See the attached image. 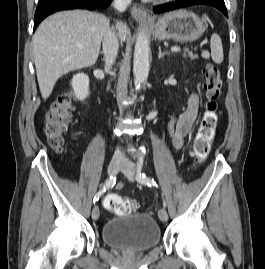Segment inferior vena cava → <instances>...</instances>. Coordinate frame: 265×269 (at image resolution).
Here are the masks:
<instances>
[{"mask_svg":"<svg viewBox=\"0 0 265 269\" xmlns=\"http://www.w3.org/2000/svg\"><path fill=\"white\" fill-rule=\"evenodd\" d=\"M131 1L132 0H114L113 5L117 11L123 12L126 10ZM102 45L103 53L105 56V71H109L117 57L119 48L117 34L115 33L114 29L110 27L106 29L103 36ZM123 158V153L119 148H117L114 153L113 159L116 161H120Z\"/></svg>","mask_w":265,"mask_h":269,"instance_id":"1","label":"inferior vena cava"}]
</instances>
